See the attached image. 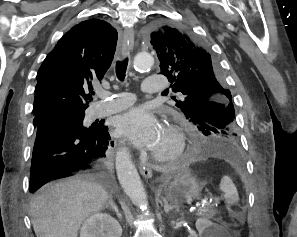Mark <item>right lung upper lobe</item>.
Listing matches in <instances>:
<instances>
[{"label":"right lung upper lobe","instance_id":"obj_1","mask_svg":"<svg viewBox=\"0 0 297 237\" xmlns=\"http://www.w3.org/2000/svg\"><path fill=\"white\" fill-rule=\"evenodd\" d=\"M117 31L107 22H80L57 43L37 73L34 120L52 113L84 112L91 101L92 83L109 68Z\"/></svg>","mask_w":297,"mask_h":237}]
</instances>
